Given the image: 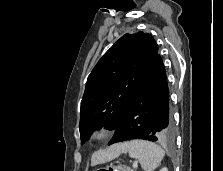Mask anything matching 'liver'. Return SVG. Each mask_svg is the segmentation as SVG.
<instances>
[{
  "instance_id": "obj_1",
  "label": "liver",
  "mask_w": 223,
  "mask_h": 171,
  "mask_svg": "<svg viewBox=\"0 0 223 171\" xmlns=\"http://www.w3.org/2000/svg\"><path fill=\"white\" fill-rule=\"evenodd\" d=\"M126 151V143L112 145L104 151H98L94 153L91 158V165L95 166L98 164L109 162Z\"/></svg>"
}]
</instances>
